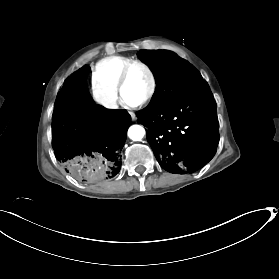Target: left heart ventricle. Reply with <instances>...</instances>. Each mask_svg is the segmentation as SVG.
<instances>
[{
    "instance_id": "1",
    "label": "left heart ventricle",
    "mask_w": 279,
    "mask_h": 279,
    "mask_svg": "<svg viewBox=\"0 0 279 279\" xmlns=\"http://www.w3.org/2000/svg\"><path fill=\"white\" fill-rule=\"evenodd\" d=\"M150 85V77L147 72L139 66L133 67L124 89V102L126 104L138 103L147 95Z\"/></svg>"
}]
</instances>
